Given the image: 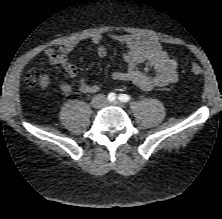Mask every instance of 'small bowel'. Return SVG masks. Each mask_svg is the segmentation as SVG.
I'll list each match as a JSON object with an SVG mask.
<instances>
[{"label": "small bowel", "instance_id": "obj_1", "mask_svg": "<svg viewBox=\"0 0 222 219\" xmlns=\"http://www.w3.org/2000/svg\"><path fill=\"white\" fill-rule=\"evenodd\" d=\"M110 38L127 48L124 56L126 69L113 72L112 78L114 80L131 82L142 91L165 87L177 81V58L167 53L155 38H143L135 34H111ZM92 43L98 57L106 56L107 50L102 44L101 35H94ZM75 47L74 42H66L57 49L47 50L45 58L48 63L59 65L68 75L73 77L77 82L78 91L87 94L95 93L99 90V86L87 82L78 67L68 58V54ZM140 65H143V69L139 68ZM50 83L51 78L48 73L40 76L39 87L41 89H48ZM58 89L64 94H71L75 91L74 87L67 82L60 83Z\"/></svg>", "mask_w": 222, "mask_h": 219}]
</instances>
